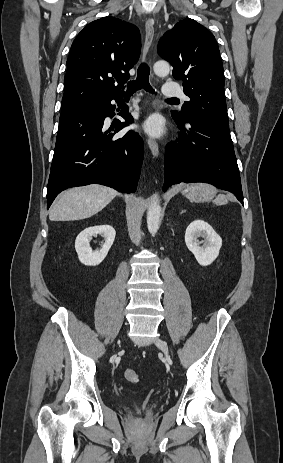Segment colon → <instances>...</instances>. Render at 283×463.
<instances>
[{
    "label": "colon",
    "instance_id": "colon-1",
    "mask_svg": "<svg viewBox=\"0 0 283 463\" xmlns=\"http://www.w3.org/2000/svg\"><path fill=\"white\" fill-rule=\"evenodd\" d=\"M124 377L128 382L135 383L138 381V374L135 370L128 369L124 372Z\"/></svg>",
    "mask_w": 283,
    "mask_h": 463
}]
</instances>
